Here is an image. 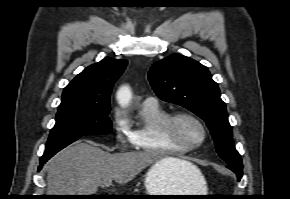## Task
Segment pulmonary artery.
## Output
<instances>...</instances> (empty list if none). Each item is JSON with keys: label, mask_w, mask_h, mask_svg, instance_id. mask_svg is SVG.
Wrapping results in <instances>:
<instances>
[{"label": "pulmonary artery", "mask_w": 290, "mask_h": 199, "mask_svg": "<svg viewBox=\"0 0 290 199\" xmlns=\"http://www.w3.org/2000/svg\"><path fill=\"white\" fill-rule=\"evenodd\" d=\"M143 104H158L157 99L154 97H146L143 100Z\"/></svg>", "instance_id": "1"}]
</instances>
